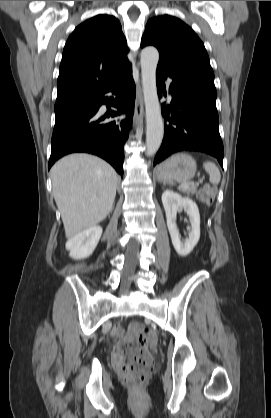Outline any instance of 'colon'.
I'll return each instance as SVG.
<instances>
[{"instance_id":"1","label":"colon","mask_w":271,"mask_h":418,"mask_svg":"<svg viewBox=\"0 0 271 418\" xmlns=\"http://www.w3.org/2000/svg\"><path fill=\"white\" fill-rule=\"evenodd\" d=\"M204 205H210L214 199V189L206 186L198 193ZM148 329H136L122 341L112 355V364L119 376L132 385L142 384L153 367V358L147 349Z\"/></svg>"}]
</instances>
